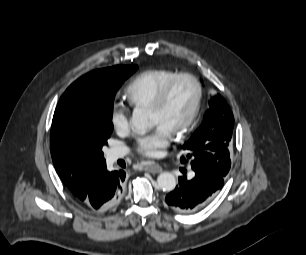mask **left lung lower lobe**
<instances>
[{
	"instance_id": "0a47b994",
	"label": "left lung lower lobe",
	"mask_w": 306,
	"mask_h": 255,
	"mask_svg": "<svg viewBox=\"0 0 306 255\" xmlns=\"http://www.w3.org/2000/svg\"><path fill=\"white\" fill-rule=\"evenodd\" d=\"M191 167L192 176L179 177L178 185L165 199L170 208L180 213H193L204 208L224 184V176L208 166L192 164ZM180 170L187 173L185 168Z\"/></svg>"
}]
</instances>
